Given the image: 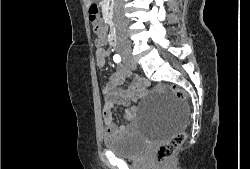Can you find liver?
<instances>
[{"instance_id":"6515ba94","label":"liver","mask_w":250,"mask_h":169,"mask_svg":"<svg viewBox=\"0 0 250 169\" xmlns=\"http://www.w3.org/2000/svg\"><path fill=\"white\" fill-rule=\"evenodd\" d=\"M84 2H85L86 8H88V6H90L92 0H84Z\"/></svg>"}]
</instances>
